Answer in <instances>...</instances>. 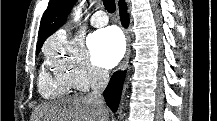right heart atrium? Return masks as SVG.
<instances>
[{
	"label": "right heart atrium",
	"instance_id": "1",
	"mask_svg": "<svg viewBox=\"0 0 217 121\" xmlns=\"http://www.w3.org/2000/svg\"><path fill=\"white\" fill-rule=\"evenodd\" d=\"M45 54L54 73L79 91L97 87L107 78V74L91 62L80 38L57 33L48 40Z\"/></svg>",
	"mask_w": 217,
	"mask_h": 121
}]
</instances>
